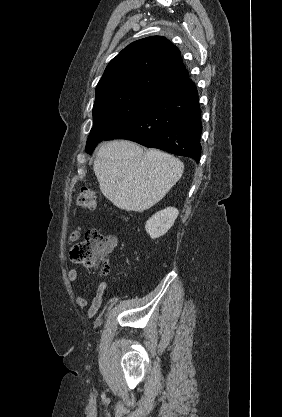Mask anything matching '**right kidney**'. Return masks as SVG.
Wrapping results in <instances>:
<instances>
[{
    "mask_svg": "<svg viewBox=\"0 0 282 417\" xmlns=\"http://www.w3.org/2000/svg\"><path fill=\"white\" fill-rule=\"evenodd\" d=\"M179 215L178 209L175 206H166L163 211H158L155 215H152L148 221H146L145 229L146 233L150 235L151 239H157L165 235L172 225L175 223Z\"/></svg>",
    "mask_w": 282,
    "mask_h": 417,
    "instance_id": "right-kidney-1",
    "label": "right kidney"
}]
</instances>
